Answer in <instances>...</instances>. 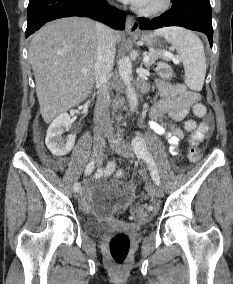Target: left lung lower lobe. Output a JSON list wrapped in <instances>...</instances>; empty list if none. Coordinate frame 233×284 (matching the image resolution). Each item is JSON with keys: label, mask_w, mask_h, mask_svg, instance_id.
<instances>
[{"label": "left lung lower lobe", "mask_w": 233, "mask_h": 284, "mask_svg": "<svg viewBox=\"0 0 233 284\" xmlns=\"http://www.w3.org/2000/svg\"><path fill=\"white\" fill-rule=\"evenodd\" d=\"M140 29L150 30L167 26H181L200 31L207 35L213 44L211 5L209 0H173L171 9L152 19L138 18Z\"/></svg>", "instance_id": "1"}]
</instances>
